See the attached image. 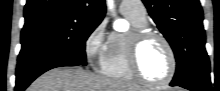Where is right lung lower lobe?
<instances>
[{
  "label": "right lung lower lobe",
  "instance_id": "1",
  "mask_svg": "<svg viewBox=\"0 0 220 91\" xmlns=\"http://www.w3.org/2000/svg\"><path fill=\"white\" fill-rule=\"evenodd\" d=\"M82 65L78 61L58 54L42 55L18 61L15 91H24L42 73L61 66Z\"/></svg>",
  "mask_w": 220,
  "mask_h": 91
}]
</instances>
